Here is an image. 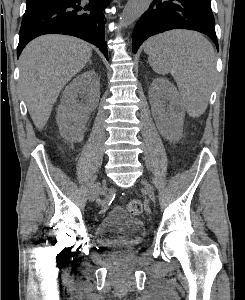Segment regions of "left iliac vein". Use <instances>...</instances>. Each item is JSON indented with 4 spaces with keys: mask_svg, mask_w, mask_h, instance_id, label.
Masks as SVG:
<instances>
[{
    "mask_svg": "<svg viewBox=\"0 0 245 300\" xmlns=\"http://www.w3.org/2000/svg\"><path fill=\"white\" fill-rule=\"evenodd\" d=\"M142 185H143V188L145 190V192L147 193V195L149 196L150 199H153L154 198V191L151 187V185L148 183L147 180L143 179L141 181Z\"/></svg>",
    "mask_w": 245,
    "mask_h": 300,
    "instance_id": "left-iliac-vein-1",
    "label": "left iliac vein"
}]
</instances>
